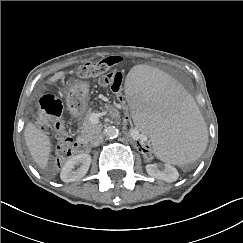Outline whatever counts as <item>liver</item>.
Wrapping results in <instances>:
<instances>
[{
  "label": "liver",
  "instance_id": "liver-1",
  "mask_svg": "<svg viewBox=\"0 0 243 243\" xmlns=\"http://www.w3.org/2000/svg\"><path fill=\"white\" fill-rule=\"evenodd\" d=\"M65 72L55 73L49 80L48 84L55 83L59 79L64 78ZM24 137L26 145L31 153L35 163L41 168L46 169L48 166L49 156L51 152L50 138L32 122H28Z\"/></svg>",
  "mask_w": 243,
  "mask_h": 243
}]
</instances>
